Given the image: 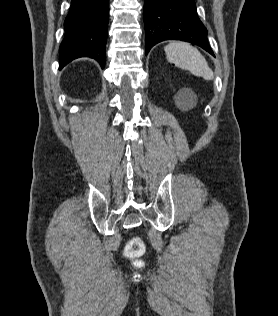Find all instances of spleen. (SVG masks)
Returning <instances> with one entry per match:
<instances>
[{
  "label": "spleen",
  "mask_w": 278,
  "mask_h": 316,
  "mask_svg": "<svg viewBox=\"0 0 278 316\" xmlns=\"http://www.w3.org/2000/svg\"><path fill=\"white\" fill-rule=\"evenodd\" d=\"M167 60L177 67L189 70L196 76L212 80L213 71L198 49L185 42H171L164 48Z\"/></svg>",
  "instance_id": "1"
}]
</instances>
